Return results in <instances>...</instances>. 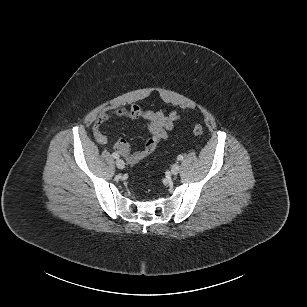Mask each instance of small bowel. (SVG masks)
<instances>
[{"label":"small bowel","instance_id":"c3829d8e","mask_svg":"<svg viewBox=\"0 0 307 307\" xmlns=\"http://www.w3.org/2000/svg\"><path fill=\"white\" fill-rule=\"evenodd\" d=\"M113 116L125 117L132 120L143 119L144 124L150 131V137L144 147L138 151H131L129 145L124 140L121 147L115 148L129 164H137L154 152L158 144L168 137L174 125L180 121L181 114L177 110L165 111H143L138 105L130 107L109 106L102 109L93 125V135L101 143L108 142L107 136L103 133L104 124Z\"/></svg>","mask_w":307,"mask_h":307}]
</instances>
